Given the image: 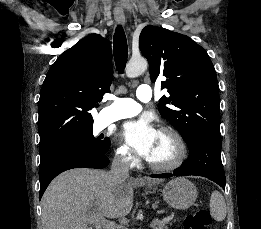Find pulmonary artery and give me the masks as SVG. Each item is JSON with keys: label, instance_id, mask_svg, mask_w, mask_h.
I'll use <instances>...</instances> for the list:
<instances>
[{"label": "pulmonary artery", "instance_id": "1", "mask_svg": "<svg viewBox=\"0 0 261 229\" xmlns=\"http://www.w3.org/2000/svg\"><path fill=\"white\" fill-rule=\"evenodd\" d=\"M136 96L140 101L148 102L152 97V90L146 85H141L136 90ZM113 103L104 110L107 121L114 122L124 118L133 117L141 111L140 105L128 98H117L112 96Z\"/></svg>", "mask_w": 261, "mask_h": 229}]
</instances>
